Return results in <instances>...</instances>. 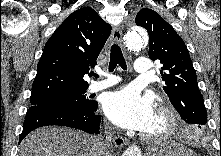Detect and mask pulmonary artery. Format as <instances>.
Returning <instances> with one entry per match:
<instances>
[{
    "label": "pulmonary artery",
    "instance_id": "pulmonary-artery-1",
    "mask_svg": "<svg viewBox=\"0 0 221 156\" xmlns=\"http://www.w3.org/2000/svg\"><path fill=\"white\" fill-rule=\"evenodd\" d=\"M134 70L137 74L145 75L150 71V62L147 58L140 57L136 59L134 63ZM102 75L105 77L100 81H95L90 84L89 91L90 92H97L108 87H111L120 81V78L114 76L112 74L103 72Z\"/></svg>",
    "mask_w": 221,
    "mask_h": 156
}]
</instances>
